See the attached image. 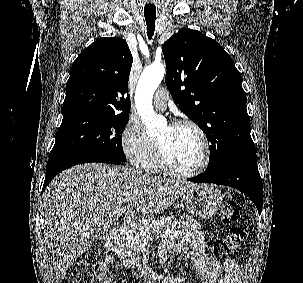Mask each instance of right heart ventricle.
<instances>
[{
	"label": "right heart ventricle",
	"instance_id": "obj_1",
	"mask_svg": "<svg viewBox=\"0 0 303 283\" xmlns=\"http://www.w3.org/2000/svg\"><path fill=\"white\" fill-rule=\"evenodd\" d=\"M144 170L148 172H157L160 167L157 160L156 151L153 155L149 158V160L142 166Z\"/></svg>",
	"mask_w": 303,
	"mask_h": 283
}]
</instances>
